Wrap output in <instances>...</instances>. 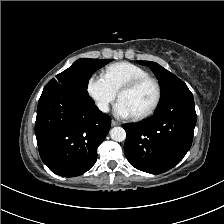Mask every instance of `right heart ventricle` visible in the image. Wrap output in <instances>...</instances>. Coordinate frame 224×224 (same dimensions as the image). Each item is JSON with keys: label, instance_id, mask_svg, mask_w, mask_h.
Masks as SVG:
<instances>
[{"label": "right heart ventricle", "instance_id": "obj_1", "mask_svg": "<svg viewBox=\"0 0 224 224\" xmlns=\"http://www.w3.org/2000/svg\"><path fill=\"white\" fill-rule=\"evenodd\" d=\"M102 76L110 87L118 92L125 83L137 77L148 76V72L135 64L118 62L106 67Z\"/></svg>", "mask_w": 224, "mask_h": 224}]
</instances>
